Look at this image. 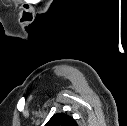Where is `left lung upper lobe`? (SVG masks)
<instances>
[{
	"label": "left lung upper lobe",
	"instance_id": "obj_1",
	"mask_svg": "<svg viewBox=\"0 0 127 126\" xmlns=\"http://www.w3.org/2000/svg\"><path fill=\"white\" fill-rule=\"evenodd\" d=\"M45 126H77L76 121L66 113L54 114Z\"/></svg>",
	"mask_w": 127,
	"mask_h": 126
}]
</instances>
